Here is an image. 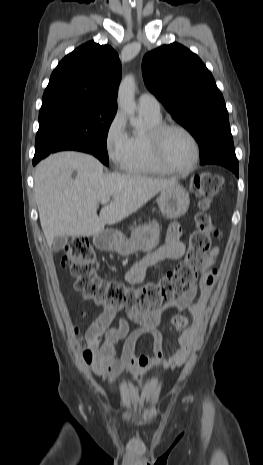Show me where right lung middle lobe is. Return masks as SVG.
<instances>
[{
    "label": "right lung middle lobe",
    "instance_id": "dd1d6c3e",
    "mask_svg": "<svg viewBox=\"0 0 263 465\" xmlns=\"http://www.w3.org/2000/svg\"><path fill=\"white\" fill-rule=\"evenodd\" d=\"M116 108L80 101L58 100L42 104L35 142V159L74 145L108 165L107 134Z\"/></svg>",
    "mask_w": 263,
    "mask_h": 465
}]
</instances>
